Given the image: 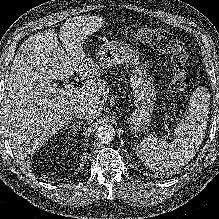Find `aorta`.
Wrapping results in <instances>:
<instances>
[{"label": "aorta", "instance_id": "762f6f07", "mask_svg": "<svg viewBox=\"0 0 219 219\" xmlns=\"http://www.w3.org/2000/svg\"><path fill=\"white\" fill-rule=\"evenodd\" d=\"M115 136V130L111 125L105 124L104 126H99L95 133L97 144H108Z\"/></svg>", "mask_w": 219, "mask_h": 219}]
</instances>
